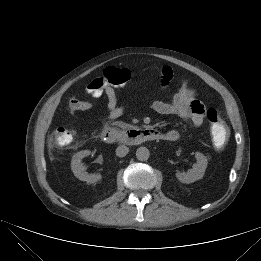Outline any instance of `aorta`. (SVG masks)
<instances>
[{"label":"aorta","instance_id":"aorta-1","mask_svg":"<svg viewBox=\"0 0 261 261\" xmlns=\"http://www.w3.org/2000/svg\"><path fill=\"white\" fill-rule=\"evenodd\" d=\"M150 156V152L146 147H139L136 150V157L139 161H146Z\"/></svg>","mask_w":261,"mask_h":261}]
</instances>
